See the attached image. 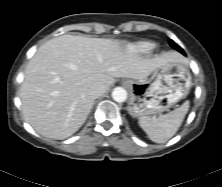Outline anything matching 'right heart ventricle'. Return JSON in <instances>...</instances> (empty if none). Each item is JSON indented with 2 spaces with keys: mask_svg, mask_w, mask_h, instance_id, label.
Listing matches in <instances>:
<instances>
[{
  "mask_svg": "<svg viewBox=\"0 0 222 187\" xmlns=\"http://www.w3.org/2000/svg\"><path fill=\"white\" fill-rule=\"evenodd\" d=\"M130 52L136 55H146L153 51L154 44L148 41H138L128 46Z\"/></svg>",
  "mask_w": 222,
  "mask_h": 187,
  "instance_id": "obj_1",
  "label": "right heart ventricle"
}]
</instances>
